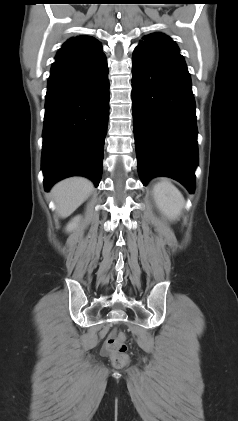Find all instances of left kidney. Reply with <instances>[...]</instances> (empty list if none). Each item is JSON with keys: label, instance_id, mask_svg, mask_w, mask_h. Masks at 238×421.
I'll return each instance as SVG.
<instances>
[{"label": "left kidney", "instance_id": "5707ae66", "mask_svg": "<svg viewBox=\"0 0 238 421\" xmlns=\"http://www.w3.org/2000/svg\"><path fill=\"white\" fill-rule=\"evenodd\" d=\"M153 195L158 209L168 220L178 219L185 206V200L173 184L162 180L154 186Z\"/></svg>", "mask_w": 238, "mask_h": 421}]
</instances>
